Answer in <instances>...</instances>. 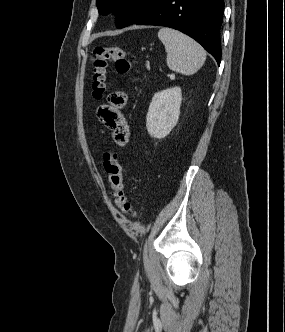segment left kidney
<instances>
[{
	"label": "left kidney",
	"instance_id": "left-kidney-1",
	"mask_svg": "<svg viewBox=\"0 0 285 332\" xmlns=\"http://www.w3.org/2000/svg\"><path fill=\"white\" fill-rule=\"evenodd\" d=\"M182 93L180 87H173L154 94L146 116V127L150 136L165 138L176 126Z\"/></svg>",
	"mask_w": 285,
	"mask_h": 332
}]
</instances>
